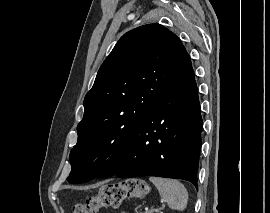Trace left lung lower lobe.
I'll return each instance as SVG.
<instances>
[{
	"label": "left lung lower lobe",
	"mask_w": 270,
	"mask_h": 213,
	"mask_svg": "<svg viewBox=\"0 0 270 213\" xmlns=\"http://www.w3.org/2000/svg\"><path fill=\"white\" fill-rule=\"evenodd\" d=\"M201 129L198 90L190 66L176 77L113 161L94 175L158 176L187 180L197 187Z\"/></svg>",
	"instance_id": "left-lung-lower-lobe-1"
}]
</instances>
